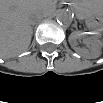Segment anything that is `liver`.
Instances as JSON below:
<instances>
[{
	"mask_svg": "<svg viewBox=\"0 0 103 103\" xmlns=\"http://www.w3.org/2000/svg\"><path fill=\"white\" fill-rule=\"evenodd\" d=\"M53 10L54 3L47 0L1 1V56L13 57L27 50L32 38L31 16Z\"/></svg>",
	"mask_w": 103,
	"mask_h": 103,
	"instance_id": "liver-1",
	"label": "liver"
}]
</instances>
